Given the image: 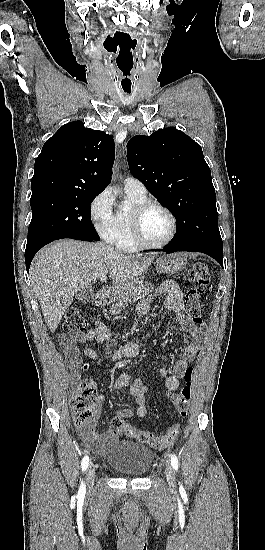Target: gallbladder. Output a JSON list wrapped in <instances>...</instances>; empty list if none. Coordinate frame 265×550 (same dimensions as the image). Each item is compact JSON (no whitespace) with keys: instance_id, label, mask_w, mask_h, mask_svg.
<instances>
[{"instance_id":"1","label":"gallbladder","mask_w":265,"mask_h":550,"mask_svg":"<svg viewBox=\"0 0 265 550\" xmlns=\"http://www.w3.org/2000/svg\"><path fill=\"white\" fill-rule=\"evenodd\" d=\"M76 298L79 302L87 303L94 298V293L92 290H81L78 294H76Z\"/></svg>"}]
</instances>
